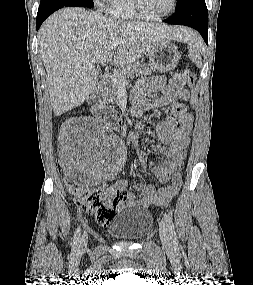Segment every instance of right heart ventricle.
<instances>
[{"mask_svg":"<svg viewBox=\"0 0 253 285\" xmlns=\"http://www.w3.org/2000/svg\"><path fill=\"white\" fill-rule=\"evenodd\" d=\"M107 11L115 19L134 20L139 18L132 0H111Z\"/></svg>","mask_w":253,"mask_h":285,"instance_id":"obj_1","label":"right heart ventricle"}]
</instances>
